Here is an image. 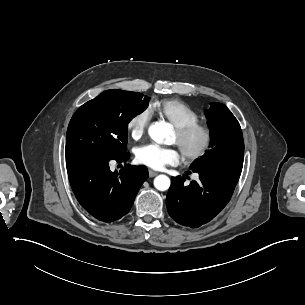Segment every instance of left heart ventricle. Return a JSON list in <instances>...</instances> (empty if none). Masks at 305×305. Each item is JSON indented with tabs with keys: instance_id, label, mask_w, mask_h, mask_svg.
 Here are the masks:
<instances>
[{
	"instance_id": "left-heart-ventricle-1",
	"label": "left heart ventricle",
	"mask_w": 305,
	"mask_h": 305,
	"mask_svg": "<svg viewBox=\"0 0 305 305\" xmlns=\"http://www.w3.org/2000/svg\"><path fill=\"white\" fill-rule=\"evenodd\" d=\"M203 136L200 133H196L192 137L185 139L181 141L175 131L174 137H173V142L177 144L179 147L180 151L185 150V151H190L194 150L197 148L200 143L202 142Z\"/></svg>"
}]
</instances>
